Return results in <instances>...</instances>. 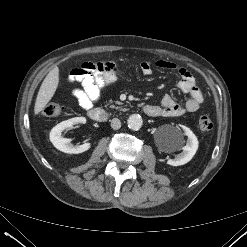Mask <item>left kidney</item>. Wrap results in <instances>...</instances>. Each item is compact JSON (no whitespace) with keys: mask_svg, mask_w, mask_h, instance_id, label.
I'll return each mask as SVG.
<instances>
[{"mask_svg":"<svg viewBox=\"0 0 247 247\" xmlns=\"http://www.w3.org/2000/svg\"><path fill=\"white\" fill-rule=\"evenodd\" d=\"M183 135L188 138L185 146H183ZM167 142L171 149L181 148L183 150L175 157V159L168 160L167 163L172 166H180L188 163L198 149L197 137L185 126L183 127V132H181L180 129L175 128V130L168 135Z\"/></svg>","mask_w":247,"mask_h":247,"instance_id":"obj_1","label":"left kidney"}]
</instances>
